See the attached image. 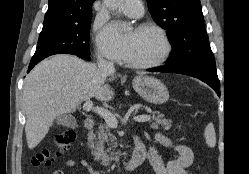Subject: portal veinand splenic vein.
I'll use <instances>...</instances> for the list:
<instances>
[{
  "mask_svg": "<svg viewBox=\"0 0 249 174\" xmlns=\"http://www.w3.org/2000/svg\"><path fill=\"white\" fill-rule=\"evenodd\" d=\"M83 109L87 112L89 111H94L95 113L99 114L106 122V124L111 127V128H117L118 126V121L115 117L114 114H112L109 110L104 109L102 107H94L93 106V102L88 100L84 103L83 105ZM150 116L149 115H138L134 117V120L136 122H146L150 120Z\"/></svg>",
  "mask_w": 249,
  "mask_h": 174,
  "instance_id": "18ae733b",
  "label": "portal vein and splenic vein"
}]
</instances>
